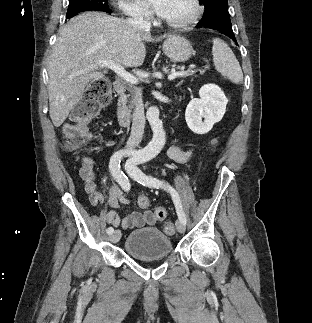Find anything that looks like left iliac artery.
Wrapping results in <instances>:
<instances>
[{
    "label": "left iliac artery",
    "mask_w": 312,
    "mask_h": 323,
    "mask_svg": "<svg viewBox=\"0 0 312 323\" xmlns=\"http://www.w3.org/2000/svg\"><path fill=\"white\" fill-rule=\"evenodd\" d=\"M135 161H136V164L144 163L146 161V158H138V159H135ZM127 171L130 174L131 178L138 181L140 184H142L144 186L154 187L157 189L164 188V189L168 190L172 196V199H173L174 205L176 207V211H177L179 219L184 224H186V216H185V213H184L182 205H181L180 197H179L177 191L173 187H171L169 184H166L165 182L161 181L158 178L144 174L137 167L128 168Z\"/></svg>",
    "instance_id": "left-iliac-artery-1"
}]
</instances>
